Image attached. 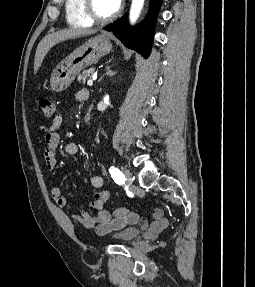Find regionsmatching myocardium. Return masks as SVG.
<instances>
[{
  "instance_id": "1",
  "label": "myocardium",
  "mask_w": 255,
  "mask_h": 287,
  "mask_svg": "<svg viewBox=\"0 0 255 287\" xmlns=\"http://www.w3.org/2000/svg\"><path fill=\"white\" fill-rule=\"evenodd\" d=\"M92 33H97V32H92ZM93 39H95V38H93ZM104 39H110V38H104ZM125 39H132V38H125ZM90 48H92V47H90ZM106 48H111V47H106ZM131 48H139V47H131Z\"/></svg>"
}]
</instances>
